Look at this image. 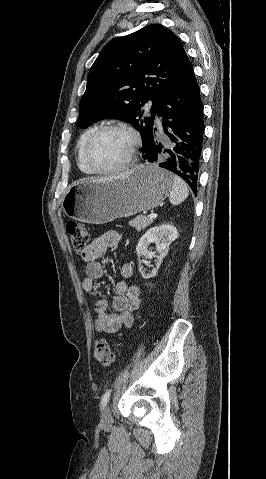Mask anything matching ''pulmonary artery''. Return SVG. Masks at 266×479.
<instances>
[{"instance_id": "1", "label": "pulmonary artery", "mask_w": 266, "mask_h": 479, "mask_svg": "<svg viewBox=\"0 0 266 479\" xmlns=\"http://www.w3.org/2000/svg\"><path fill=\"white\" fill-rule=\"evenodd\" d=\"M149 108H150V105H147V106H146V110H148Z\"/></svg>"}]
</instances>
